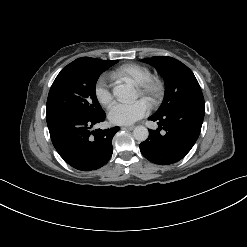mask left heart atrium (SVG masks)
<instances>
[{
    "instance_id": "obj_1",
    "label": "left heart atrium",
    "mask_w": 247,
    "mask_h": 247,
    "mask_svg": "<svg viewBox=\"0 0 247 247\" xmlns=\"http://www.w3.org/2000/svg\"><path fill=\"white\" fill-rule=\"evenodd\" d=\"M149 111L145 100L116 102L109 109V119L115 124L128 125L144 117Z\"/></svg>"
}]
</instances>
